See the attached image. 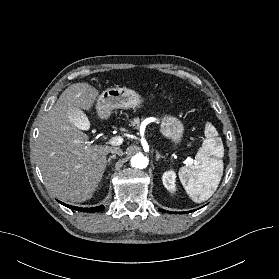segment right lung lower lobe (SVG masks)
<instances>
[{
  "label": "right lung lower lobe",
  "instance_id": "1",
  "mask_svg": "<svg viewBox=\"0 0 279 279\" xmlns=\"http://www.w3.org/2000/svg\"><path fill=\"white\" fill-rule=\"evenodd\" d=\"M60 202V201H58ZM62 205L70 208V209H74V210H77V211H82V212H99V211H102L104 209V206L101 205V206H98V207H94V208H80V207H74V206H69L63 202H60Z\"/></svg>",
  "mask_w": 279,
  "mask_h": 279
}]
</instances>
